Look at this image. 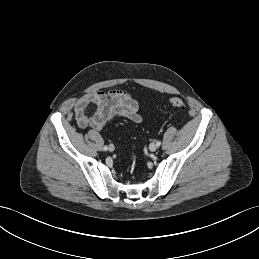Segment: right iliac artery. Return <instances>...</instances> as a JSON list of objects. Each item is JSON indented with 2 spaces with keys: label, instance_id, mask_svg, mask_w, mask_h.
Returning a JSON list of instances; mask_svg holds the SVG:
<instances>
[{
  "label": "right iliac artery",
  "instance_id": "1",
  "mask_svg": "<svg viewBox=\"0 0 259 259\" xmlns=\"http://www.w3.org/2000/svg\"><path fill=\"white\" fill-rule=\"evenodd\" d=\"M103 150H104V151H107V150H108V147H107V146H104V147H103Z\"/></svg>",
  "mask_w": 259,
  "mask_h": 259
}]
</instances>
